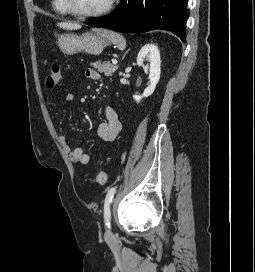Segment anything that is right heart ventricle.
Wrapping results in <instances>:
<instances>
[{
	"label": "right heart ventricle",
	"mask_w": 255,
	"mask_h": 272,
	"mask_svg": "<svg viewBox=\"0 0 255 272\" xmlns=\"http://www.w3.org/2000/svg\"><path fill=\"white\" fill-rule=\"evenodd\" d=\"M51 5H52V9L59 15H68L70 14L65 6H64V3H63V0H52L51 2Z\"/></svg>",
	"instance_id": "right-heart-ventricle-1"
}]
</instances>
